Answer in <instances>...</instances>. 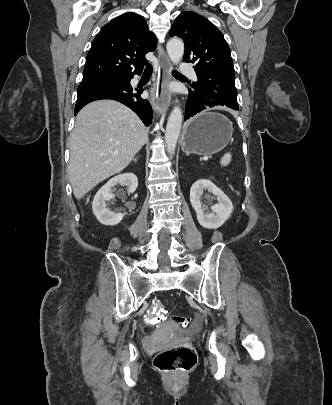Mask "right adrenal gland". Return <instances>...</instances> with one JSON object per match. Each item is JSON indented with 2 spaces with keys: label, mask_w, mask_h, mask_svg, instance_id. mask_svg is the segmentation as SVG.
I'll list each match as a JSON object with an SVG mask.
<instances>
[{
  "label": "right adrenal gland",
  "mask_w": 332,
  "mask_h": 405,
  "mask_svg": "<svg viewBox=\"0 0 332 405\" xmlns=\"http://www.w3.org/2000/svg\"><path fill=\"white\" fill-rule=\"evenodd\" d=\"M134 162H137V157L133 159Z\"/></svg>",
  "instance_id": "obj_1"
}]
</instances>
